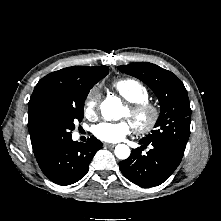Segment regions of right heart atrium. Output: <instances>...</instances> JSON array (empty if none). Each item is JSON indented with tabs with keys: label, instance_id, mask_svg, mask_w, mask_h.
Listing matches in <instances>:
<instances>
[{
	"label": "right heart atrium",
	"instance_id": "obj_1",
	"mask_svg": "<svg viewBox=\"0 0 221 221\" xmlns=\"http://www.w3.org/2000/svg\"><path fill=\"white\" fill-rule=\"evenodd\" d=\"M99 91L97 88H93L89 91L84 101V115L87 118H93L96 116L98 105H99Z\"/></svg>",
	"mask_w": 221,
	"mask_h": 221
}]
</instances>
